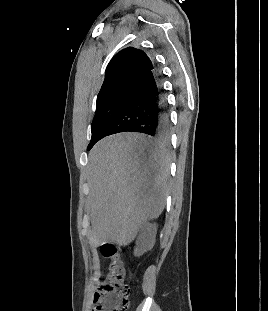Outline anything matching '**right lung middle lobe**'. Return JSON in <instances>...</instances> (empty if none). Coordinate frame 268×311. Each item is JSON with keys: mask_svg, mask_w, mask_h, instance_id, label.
Returning a JSON list of instances; mask_svg holds the SVG:
<instances>
[{"mask_svg": "<svg viewBox=\"0 0 268 311\" xmlns=\"http://www.w3.org/2000/svg\"><path fill=\"white\" fill-rule=\"evenodd\" d=\"M136 84H128L97 99L96 112L91 124L92 138L87 150L99 141L107 126L132 97Z\"/></svg>", "mask_w": 268, "mask_h": 311, "instance_id": "1", "label": "right lung middle lobe"}]
</instances>
